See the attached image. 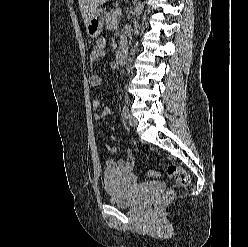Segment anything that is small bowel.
I'll return each mask as SVG.
<instances>
[{"instance_id": "c3829d8e", "label": "small bowel", "mask_w": 248, "mask_h": 247, "mask_svg": "<svg viewBox=\"0 0 248 247\" xmlns=\"http://www.w3.org/2000/svg\"><path fill=\"white\" fill-rule=\"evenodd\" d=\"M105 47H106V41L103 38H99L96 42V45L93 47L91 54H90V63L91 65H94L95 62L102 58L105 55ZM90 84L93 87L100 86L102 84V78L98 74H93L90 77ZM100 107V102L99 100H94L92 103V108L93 110H97ZM112 113V109L107 108L103 110L102 112H97L94 115V118L96 121L102 120L104 117ZM106 149L108 152L111 154H115L117 152V148L114 145H109L106 144ZM127 156L124 160L122 159H115V158H109L107 160V165L108 166H121L124 167L127 170H132L134 167V158L132 155L131 149L127 150Z\"/></svg>"}]
</instances>
